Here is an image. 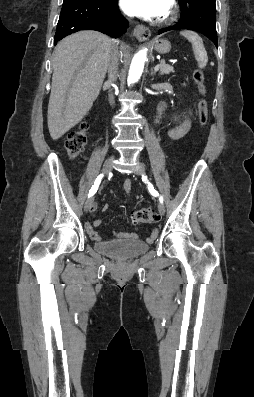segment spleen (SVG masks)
<instances>
[{
    "label": "spleen",
    "instance_id": "spleen-1",
    "mask_svg": "<svg viewBox=\"0 0 254 397\" xmlns=\"http://www.w3.org/2000/svg\"><path fill=\"white\" fill-rule=\"evenodd\" d=\"M180 35L185 37L192 44V50L198 62V66L200 68H205L208 62V56L202 38L197 33L189 30L181 31Z\"/></svg>",
    "mask_w": 254,
    "mask_h": 397
}]
</instances>
